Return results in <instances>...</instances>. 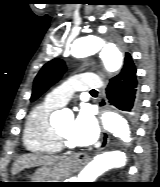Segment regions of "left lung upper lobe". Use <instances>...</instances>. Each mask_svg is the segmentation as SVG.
<instances>
[{"instance_id": "left-lung-upper-lobe-1", "label": "left lung upper lobe", "mask_w": 160, "mask_h": 187, "mask_svg": "<svg viewBox=\"0 0 160 187\" xmlns=\"http://www.w3.org/2000/svg\"><path fill=\"white\" fill-rule=\"evenodd\" d=\"M130 55L125 54V57ZM66 67L62 60L54 59L45 64L34 80L33 91L30 100H36L41 94H43L49 86L56 83L65 72Z\"/></svg>"}]
</instances>
